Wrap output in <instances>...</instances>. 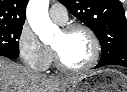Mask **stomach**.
<instances>
[{"label": "stomach", "instance_id": "obj_1", "mask_svg": "<svg viewBox=\"0 0 127 92\" xmlns=\"http://www.w3.org/2000/svg\"><path fill=\"white\" fill-rule=\"evenodd\" d=\"M69 92H127V76L113 69L91 71L80 76Z\"/></svg>", "mask_w": 127, "mask_h": 92}]
</instances>
